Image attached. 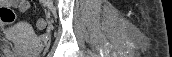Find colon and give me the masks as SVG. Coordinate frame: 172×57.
<instances>
[{
    "instance_id": "1",
    "label": "colon",
    "mask_w": 172,
    "mask_h": 57,
    "mask_svg": "<svg viewBox=\"0 0 172 57\" xmlns=\"http://www.w3.org/2000/svg\"><path fill=\"white\" fill-rule=\"evenodd\" d=\"M16 19L15 12L10 7L0 8V21L6 25H11ZM47 26V21L45 19H38L36 21V27L39 30L45 29Z\"/></svg>"
}]
</instances>
